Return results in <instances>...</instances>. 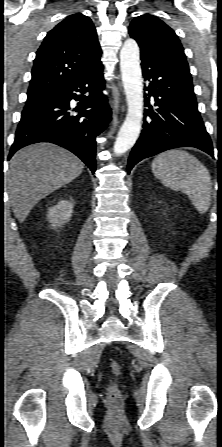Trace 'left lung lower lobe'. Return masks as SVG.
Masks as SVG:
<instances>
[{
    "label": "left lung lower lobe",
    "mask_w": 222,
    "mask_h": 447,
    "mask_svg": "<svg viewBox=\"0 0 222 447\" xmlns=\"http://www.w3.org/2000/svg\"><path fill=\"white\" fill-rule=\"evenodd\" d=\"M143 77L149 81L145 90L155 99L144 113L141 137L128 159V173L142 159L165 150L190 146L212 157L213 146L197 108L192 79L172 63L141 49Z\"/></svg>",
    "instance_id": "0a47b994"
}]
</instances>
